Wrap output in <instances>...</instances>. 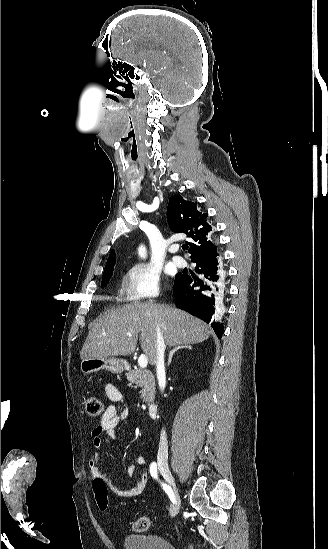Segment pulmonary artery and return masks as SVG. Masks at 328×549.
I'll return each instance as SVG.
<instances>
[{
	"label": "pulmonary artery",
	"instance_id": "1",
	"mask_svg": "<svg viewBox=\"0 0 328 549\" xmlns=\"http://www.w3.org/2000/svg\"><path fill=\"white\" fill-rule=\"evenodd\" d=\"M172 260L173 263L178 267H184L186 265V261L180 256H173Z\"/></svg>",
	"mask_w": 328,
	"mask_h": 549
}]
</instances>
